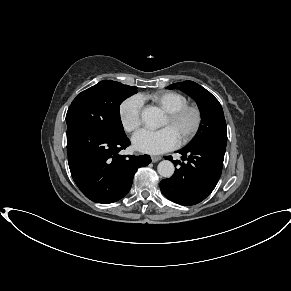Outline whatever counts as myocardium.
I'll return each mask as SVG.
<instances>
[{"instance_id": "1", "label": "myocardium", "mask_w": 291, "mask_h": 291, "mask_svg": "<svg viewBox=\"0 0 291 291\" xmlns=\"http://www.w3.org/2000/svg\"><path fill=\"white\" fill-rule=\"evenodd\" d=\"M188 114L193 115L194 124L192 129L182 139L179 140L180 145H185L191 142L198 135L203 122L202 111L198 105L187 103L186 105L176 110L166 112V116L171 123L178 122Z\"/></svg>"}]
</instances>
